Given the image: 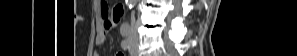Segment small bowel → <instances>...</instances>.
<instances>
[{
	"mask_svg": "<svg viewBox=\"0 0 297 56\" xmlns=\"http://www.w3.org/2000/svg\"><path fill=\"white\" fill-rule=\"evenodd\" d=\"M98 9L100 13L101 23L99 26V33L97 36L96 45L97 47H101L106 41L109 30L115 28L119 23L124 9L121 5H118L113 9L112 12H110L105 1L98 2ZM117 56H123V54L117 53Z\"/></svg>",
	"mask_w": 297,
	"mask_h": 56,
	"instance_id": "small-bowel-1",
	"label": "small bowel"
}]
</instances>
